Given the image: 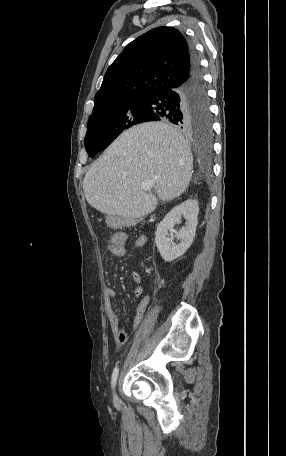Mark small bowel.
I'll return each instance as SVG.
<instances>
[{"instance_id":"obj_1","label":"small bowel","mask_w":286,"mask_h":456,"mask_svg":"<svg viewBox=\"0 0 286 456\" xmlns=\"http://www.w3.org/2000/svg\"><path fill=\"white\" fill-rule=\"evenodd\" d=\"M127 241V234L123 231H117L113 234L110 242L108 243L106 249L107 251L117 258H122L126 255L125 243ZM147 244V237L145 235H139L135 240V247L137 249H142ZM131 281L133 284V293L137 297H141L140 302L138 303L136 314L133 318L131 328L134 329L142 321L147 311V308L150 304V295L145 292V289L142 285V278L138 272H133L131 275ZM106 302H105V315L110 327V330L114 336V339L117 345H123L129 336L127 330L119 328V317L116 314L111 300L115 298V291L112 288H107L106 291Z\"/></svg>"}]
</instances>
